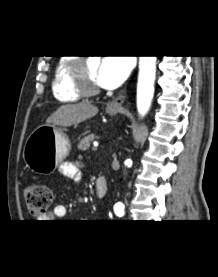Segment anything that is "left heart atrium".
Listing matches in <instances>:
<instances>
[{
    "label": "left heart atrium",
    "mask_w": 218,
    "mask_h": 277,
    "mask_svg": "<svg viewBox=\"0 0 218 277\" xmlns=\"http://www.w3.org/2000/svg\"><path fill=\"white\" fill-rule=\"evenodd\" d=\"M131 62L127 57H105L96 74V82L107 89L118 87L128 76Z\"/></svg>",
    "instance_id": "39dd6f15"
}]
</instances>
